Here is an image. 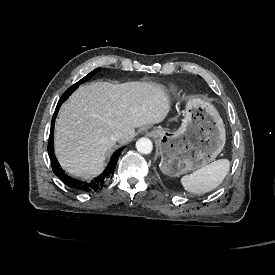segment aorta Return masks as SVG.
<instances>
[{"label":"aorta","instance_id":"aorta-1","mask_svg":"<svg viewBox=\"0 0 275 275\" xmlns=\"http://www.w3.org/2000/svg\"><path fill=\"white\" fill-rule=\"evenodd\" d=\"M136 148L142 154H149L152 152L153 144L149 138L142 137L136 142Z\"/></svg>","mask_w":275,"mask_h":275}]
</instances>
